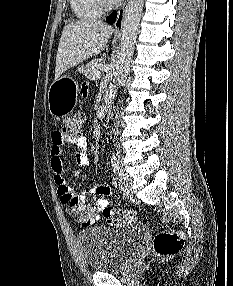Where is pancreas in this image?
I'll list each match as a JSON object with an SVG mask.
<instances>
[{
	"instance_id": "1",
	"label": "pancreas",
	"mask_w": 233,
	"mask_h": 286,
	"mask_svg": "<svg viewBox=\"0 0 233 286\" xmlns=\"http://www.w3.org/2000/svg\"><path fill=\"white\" fill-rule=\"evenodd\" d=\"M98 71L99 69L97 60L91 61L90 63L83 66L80 70V72L89 79H94V75Z\"/></svg>"
}]
</instances>
